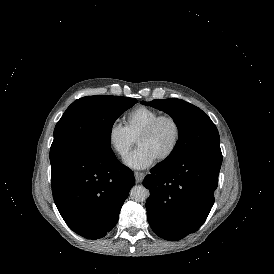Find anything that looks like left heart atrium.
<instances>
[{
    "label": "left heart atrium",
    "mask_w": 274,
    "mask_h": 274,
    "mask_svg": "<svg viewBox=\"0 0 274 274\" xmlns=\"http://www.w3.org/2000/svg\"><path fill=\"white\" fill-rule=\"evenodd\" d=\"M124 162L132 169L141 170L152 165L153 156L143 147H137L124 157Z\"/></svg>",
    "instance_id": "obj_1"
}]
</instances>
